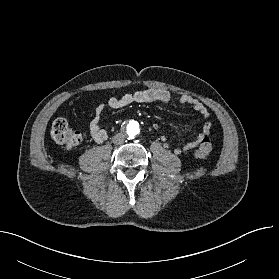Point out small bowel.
<instances>
[{
    "instance_id": "1",
    "label": "small bowel",
    "mask_w": 279,
    "mask_h": 279,
    "mask_svg": "<svg viewBox=\"0 0 279 279\" xmlns=\"http://www.w3.org/2000/svg\"><path fill=\"white\" fill-rule=\"evenodd\" d=\"M170 101L171 95L167 90L156 88L125 93L120 97H110L105 103H101L95 108L94 116L89 124L90 135L98 143H103L108 138L107 132L100 126V118L107 107L111 109H120L135 103L160 102L168 104ZM179 102L183 105H190L195 112L202 116L205 123L202 133L193 139H189L182 148H176V154H181L197 146L203 137L211 133L212 128L210 113L201 101L188 94H183L180 96Z\"/></svg>"
}]
</instances>
